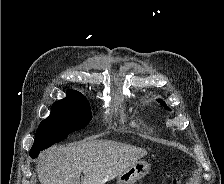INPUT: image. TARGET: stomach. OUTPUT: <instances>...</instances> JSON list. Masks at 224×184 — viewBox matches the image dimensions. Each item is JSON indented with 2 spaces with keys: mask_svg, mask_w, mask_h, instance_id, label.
Listing matches in <instances>:
<instances>
[{
  "mask_svg": "<svg viewBox=\"0 0 224 184\" xmlns=\"http://www.w3.org/2000/svg\"><path fill=\"white\" fill-rule=\"evenodd\" d=\"M150 165L145 161H138L123 171L117 178L116 184H134L142 179L149 171Z\"/></svg>",
  "mask_w": 224,
  "mask_h": 184,
  "instance_id": "0dacf381",
  "label": "stomach"
}]
</instances>
